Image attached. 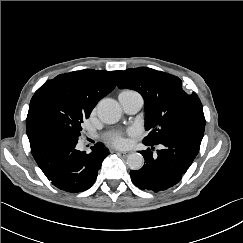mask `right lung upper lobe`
<instances>
[{
    "mask_svg": "<svg viewBox=\"0 0 243 243\" xmlns=\"http://www.w3.org/2000/svg\"><path fill=\"white\" fill-rule=\"evenodd\" d=\"M122 71L85 69L58 75L39 89L59 91L83 111L91 113L96 104L116 86Z\"/></svg>",
    "mask_w": 243,
    "mask_h": 243,
    "instance_id": "right-lung-upper-lobe-1",
    "label": "right lung upper lobe"
}]
</instances>
